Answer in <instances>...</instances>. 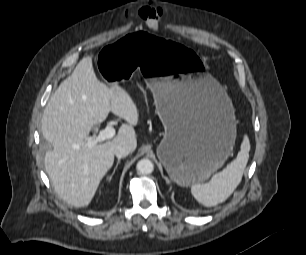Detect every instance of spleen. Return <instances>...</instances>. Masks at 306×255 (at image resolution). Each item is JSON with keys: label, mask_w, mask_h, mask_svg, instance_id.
Here are the masks:
<instances>
[{"label": "spleen", "mask_w": 306, "mask_h": 255, "mask_svg": "<svg viewBox=\"0 0 306 255\" xmlns=\"http://www.w3.org/2000/svg\"><path fill=\"white\" fill-rule=\"evenodd\" d=\"M249 150V139L245 136L241 144V150L235 160L229 163L222 171L214 174L209 182L192 185L191 193L195 199L207 207H212L225 201L241 182L249 159Z\"/></svg>", "instance_id": "3e777b00"}]
</instances>
